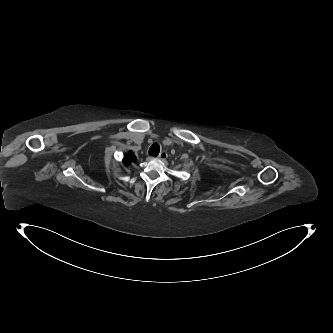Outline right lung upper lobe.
Listing matches in <instances>:
<instances>
[{
  "mask_svg": "<svg viewBox=\"0 0 333 333\" xmlns=\"http://www.w3.org/2000/svg\"><path fill=\"white\" fill-rule=\"evenodd\" d=\"M134 161H136V157L131 151L123 158L124 165H128Z\"/></svg>",
  "mask_w": 333,
  "mask_h": 333,
  "instance_id": "1",
  "label": "right lung upper lobe"
}]
</instances>
